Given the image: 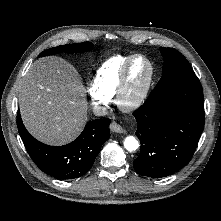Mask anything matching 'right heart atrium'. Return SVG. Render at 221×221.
<instances>
[{
  "label": "right heart atrium",
  "instance_id": "right-heart-atrium-1",
  "mask_svg": "<svg viewBox=\"0 0 221 221\" xmlns=\"http://www.w3.org/2000/svg\"><path fill=\"white\" fill-rule=\"evenodd\" d=\"M87 92L94 105L106 107L109 104V99L98 93L93 84L89 85Z\"/></svg>",
  "mask_w": 221,
  "mask_h": 221
}]
</instances>
